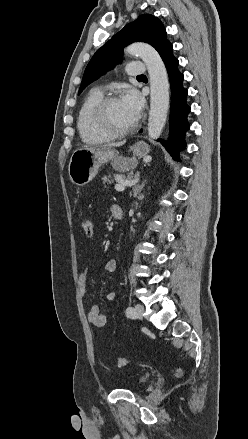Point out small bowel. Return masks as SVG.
<instances>
[{
	"label": "small bowel",
	"mask_w": 248,
	"mask_h": 439,
	"mask_svg": "<svg viewBox=\"0 0 248 439\" xmlns=\"http://www.w3.org/2000/svg\"><path fill=\"white\" fill-rule=\"evenodd\" d=\"M113 208V206H112ZM117 263L115 260H110L105 264L104 274L109 275L116 270ZM78 283L82 296H88L92 290L89 282V269L85 267L78 276ZM106 298L113 301L116 298V294L113 291H108L106 293ZM88 320L95 327H104L107 323V317L101 313L100 308L97 305L91 306L88 312Z\"/></svg>",
	"instance_id": "small-bowel-1"
}]
</instances>
